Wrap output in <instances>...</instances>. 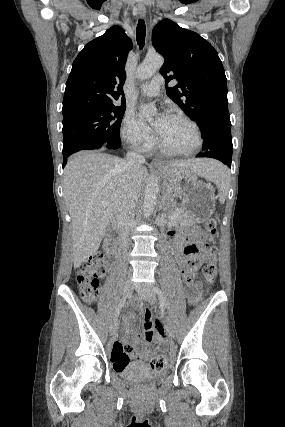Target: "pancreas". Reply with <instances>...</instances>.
<instances>
[{
    "mask_svg": "<svg viewBox=\"0 0 285 427\" xmlns=\"http://www.w3.org/2000/svg\"><path fill=\"white\" fill-rule=\"evenodd\" d=\"M168 214L170 222H182L187 219L185 210L183 208H177L175 205L168 208Z\"/></svg>",
    "mask_w": 285,
    "mask_h": 427,
    "instance_id": "1",
    "label": "pancreas"
}]
</instances>
